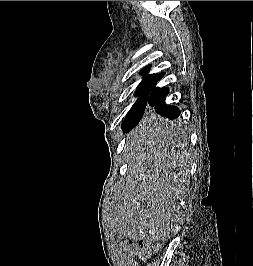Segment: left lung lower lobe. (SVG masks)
Segmentation results:
<instances>
[{
  "mask_svg": "<svg viewBox=\"0 0 253 266\" xmlns=\"http://www.w3.org/2000/svg\"><path fill=\"white\" fill-rule=\"evenodd\" d=\"M164 76V73H160L156 75L151 88L149 90L147 106H151L155 108V112L160 114L161 116L167 117L169 119H175L180 115V111L176 106L165 105L164 99L168 95V89L162 88L159 89L155 87L156 83ZM136 125L131 127H123L124 132H128ZM154 129L158 132H167L170 129V124L167 121L159 120L155 122Z\"/></svg>",
  "mask_w": 253,
  "mask_h": 266,
  "instance_id": "0a47b994",
  "label": "left lung lower lobe"
}]
</instances>
